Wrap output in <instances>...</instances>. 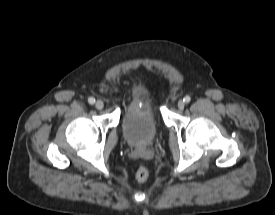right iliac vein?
Wrapping results in <instances>:
<instances>
[{"mask_svg":"<svg viewBox=\"0 0 275 215\" xmlns=\"http://www.w3.org/2000/svg\"><path fill=\"white\" fill-rule=\"evenodd\" d=\"M95 107H96L98 110H101V109H103V107H104V103H103L101 100H98V101L95 103Z\"/></svg>","mask_w":275,"mask_h":215,"instance_id":"63e3f726","label":"right iliac vein"}]
</instances>
